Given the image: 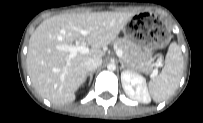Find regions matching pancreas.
I'll use <instances>...</instances> for the list:
<instances>
[{"mask_svg": "<svg viewBox=\"0 0 203 123\" xmlns=\"http://www.w3.org/2000/svg\"><path fill=\"white\" fill-rule=\"evenodd\" d=\"M116 48L122 50V60L129 68L150 73L152 71L153 59L147 56L137 45L125 38L114 41Z\"/></svg>", "mask_w": 203, "mask_h": 123, "instance_id": "1", "label": "pancreas"}]
</instances>
